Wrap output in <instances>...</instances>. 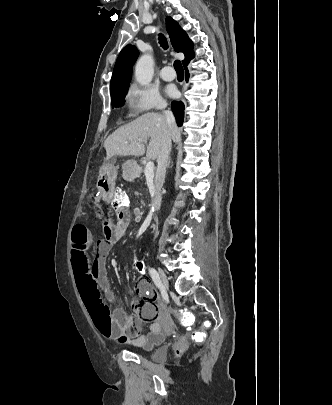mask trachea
<instances>
[{
    "mask_svg": "<svg viewBox=\"0 0 332 405\" xmlns=\"http://www.w3.org/2000/svg\"><path fill=\"white\" fill-rule=\"evenodd\" d=\"M158 39H159L160 46L163 49L166 50L168 48V43H167V40H166L165 36L160 34ZM174 69H175L177 74H183L184 73L182 64H181V62L179 60H176L174 62Z\"/></svg>",
    "mask_w": 332,
    "mask_h": 405,
    "instance_id": "obj_1",
    "label": "trachea"
}]
</instances>
